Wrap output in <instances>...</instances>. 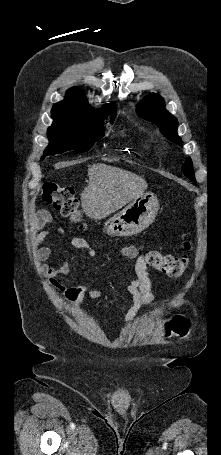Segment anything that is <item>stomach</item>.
I'll return each mask as SVG.
<instances>
[{
  "instance_id": "obj_1",
  "label": "stomach",
  "mask_w": 221,
  "mask_h": 455,
  "mask_svg": "<svg viewBox=\"0 0 221 455\" xmlns=\"http://www.w3.org/2000/svg\"><path fill=\"white\" fill-rule=\"evenodd\" d=\"M159 207V200L154 193H143L109 218L104 224V232L119 237L136 235L153 223Z\"/></svg>"
}]
</instances>
